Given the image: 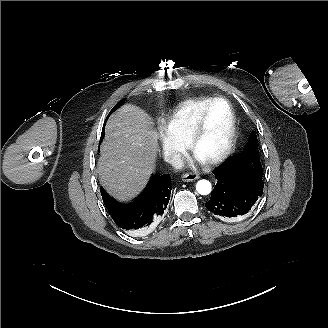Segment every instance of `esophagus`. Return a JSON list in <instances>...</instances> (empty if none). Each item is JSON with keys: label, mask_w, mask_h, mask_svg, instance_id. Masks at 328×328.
Masks as SVG:
<instances>
[{"label": "esophagus", "mask_w": 328, "mask_h": 328, "mask_svg": "<svg viewBox=\"0 0 328 328\" xmlns=\"http://www.w3.org/2000/svg\"><path fill=\"white\" fill-rule=\"evenodd\" d=\"M199 176L197 174L194 173H186L184 175L181 176V180L183 182H190V181H194L196 179H198Z\"/></svg>", "instance_id": "1"}]
</instances>
